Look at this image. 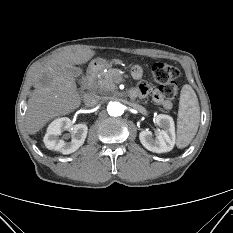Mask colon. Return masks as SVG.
<instances>
[{
  "label": "colon",
  "mask_w": 233,
  "mask_h": 233,
  "mask_svg": "<svg viewBox=\"0 0 233 233\" xmlns=\"http://www.w3.org/2000/svg\"><path fill=\"white\" fill-rule=\"evenodd\" d=\"M153 78L157 83L162 84L161 92L167 99H173L178 93L177 78L179 70L165 62H157L152 67Z\"/></svg>",
  "instance_id": "colon-1"
}]
</instances>
